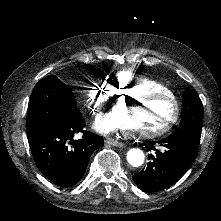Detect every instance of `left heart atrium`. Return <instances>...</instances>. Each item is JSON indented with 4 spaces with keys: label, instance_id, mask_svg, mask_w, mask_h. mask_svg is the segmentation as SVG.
I'll use <instances>...</instances> for the list:
<instances>
[{
    "label": "left heart atrium",
    "instance_id": "left-heart-atrium-1",
    "mask_svg": "<svg viewBox=\"0 0 221 221\" xmlns=\"http://www.w3.org/2000/svg\"><path fill=\"white\" fill-rule=\"evenodd\" d=\"M137 123V114L132 109H123L105 113L100 118L99 130L101 132H114L115 130L132 128Z\"/></svg>",
    "mask_w": 221,
    "mask_h": 221
}]
</instances>
